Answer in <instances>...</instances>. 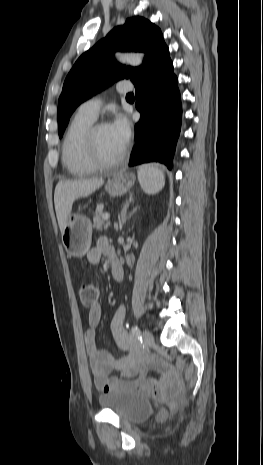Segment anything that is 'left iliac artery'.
<instances>
[{
    "label": "left iliac artery",
    "instance_id": "left-iliac-artery-1",
    "mask_svg": "<svg viewBox=\"0 0 263 465\" xmlns=\"http://www.w3.org/2000/svg\"><path fill=\"white\" fill-rule=\"evenodd\" d=\"M131 334L136 337L138 340L142 341V336L140 329L137 326H132L131 328Z\"/></svg>",
    "mask_w": 263,
    "mask_h": 465
}]
</instances>
